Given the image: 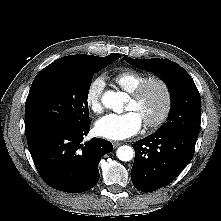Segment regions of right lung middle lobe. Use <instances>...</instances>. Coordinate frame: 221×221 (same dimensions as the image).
<instances>
[{"label":"right lung middle lobe","instance_id":"obj_1","mask_svg":"<svg viewBox=\"0 0 221 221\" xmlns=\"http://www.w3.org/2000/svg\"><path fill=\"white\" fill-rule=\"evenodd\" d=\"M118 58L93 56L85 63L53 62L42 69L25 103L26 138L51 127L88 124L87 97L93 75Z\"/></svg>","mask_w":221,"mask_h":221}]
</instances>
